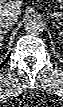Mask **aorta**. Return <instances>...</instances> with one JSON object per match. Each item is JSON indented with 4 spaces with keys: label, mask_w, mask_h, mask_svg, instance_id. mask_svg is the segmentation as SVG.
Listing matches in <instances>:
<instances>
[{
    "label": "aorta",
    "mask_w": 63,
    "mask_h": 107,
    "mask_svg": "<svg viewBox=\"0 0 63 107\" xmlns=\"http://www.w3.org/2000/svg\"><path fill=\"white\" fill-rule=\"evenodd\" d=\"M28 34L38 35L44 31V23L40 18H29L25 24Z\"/></svg>",
    "instance_id": "obj_1"
}]
</instances>
